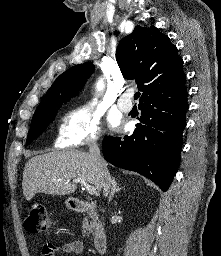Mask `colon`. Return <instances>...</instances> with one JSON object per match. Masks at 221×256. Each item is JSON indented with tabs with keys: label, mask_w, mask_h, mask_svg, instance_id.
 <instances>
[{
	"label": "colon",
	"mask_w": 221,
	"mask_h": 256,
	"mask_svg": "<svg viewBox=\"0 0 221 256\" xmlns=\"http://www.w3.org/2000/svg\"><path fill=\"white\" fill-rule=\"evenodd\" d=\"M51 220L46 208L41 204H33L25 220V228L30 233H41L48 231Z\"/></svg>",
	"instance_id": "obj_1"
}]
</instances>
